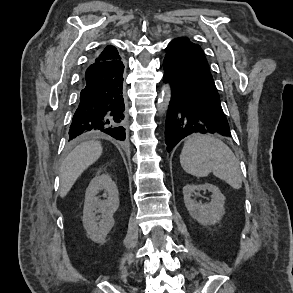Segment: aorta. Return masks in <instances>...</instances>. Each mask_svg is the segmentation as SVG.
Wrapping results in <instances>:
<instances>
[{
    "instance_id": "aorta-1",
    "label": "aorta",
    "mask_w": 293,
    "mask_h": 293,
    "mask_svg": "<svg viewBox=\"0 0 293 293\" xmlns=\"http://www.w3.org/2000/svg\"><path fill=\"white\" fill-rule=\"evenodd\" d=\"M170 100H171V87L169 85H165L163 86L162 92L159 96L158 110L160 115H163L167 111Z\"/></svg>"
}]
</instances>
